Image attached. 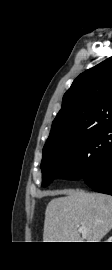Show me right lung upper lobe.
<instances>
[{"mask_svg":"<svg viewBox=\"0 0 112 270\" xmlns=\"http://www.w3.org/2000/svg\"><path fill=\"white\" fill-rule=\"evenodd\" d=\"M112 124V57L80 74L64 94L43 149Z\"/></svg>","mask_w":112,"mask_h":270,"instance_id":"cb5924a9","label":"right lung upper lobe"}]
</instances>
